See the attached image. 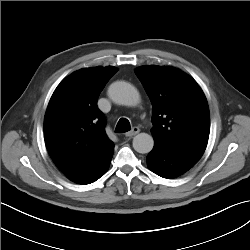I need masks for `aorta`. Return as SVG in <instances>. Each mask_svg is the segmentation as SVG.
<instances>
[{
  "label": "aorta",
  "instance_id": "obj_1",
  "mask_svg": "<svg viewBox=\"0 0 250 250\" xmlns=\"http://www.w3.org/2000/svg\"><path fill=\"white\" fill-rule=\"evenodd\" d=\"M110 99L120 105L135 106L140 102L137 89L128 82L116 81L109 86ZM154 146L153 137L147 133H140L133 138V148L138 153H149Z\"/></svg>",
  "mask_w": 250,
  "mask_h": 250
}]
</instances>
